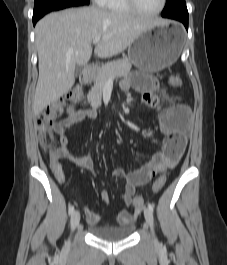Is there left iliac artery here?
<instances>
[{
	"label": "left iliac artery",
	"instance_id": "1",
	"mask_svg": "<svg viewBox=\"0 0 227 265\" xmlns=\"http://www.w3.org/2000/svg\"><path fill=\"white\" fill-rule=\"evenodd\" d=\"M148 208H149V210H150L151 212L154 211V205H153V204L148 203Z\"/></svg>",
	"mask_w": 227,
	"mask_h": 265
}]
</instances>
